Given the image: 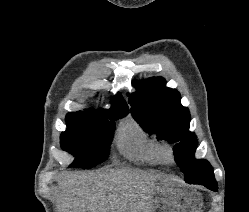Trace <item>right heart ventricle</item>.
Listing matches in <instances>:
<instances>
[{
    "label": "right heart ventricle",
    "mask_w": 249,
    "mask_h": 212,
    "mask_svg": "<svg viewBox=\"0 0 249 212\" xmlns=\"http://www.w3.org/2000/svg\"><path fill=\"white\" fill-rule=\"evenodd\" d=\"M114 144L122 156L135 163L150 167L170 164L164 156L163 144L130 117L120 122Z\"/></svg>",
    "instance_id": "obj_1"
}]
</instances>
